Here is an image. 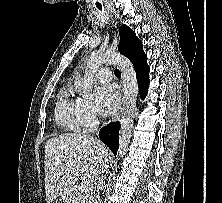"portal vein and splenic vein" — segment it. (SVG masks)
Listing matches in <instances>:
<instances>
[{
  "label": "portal vein and splenic vein",
  "instance_id": "portal-vein-and-splenic-vein-1",
  "mask_svg": "<svg viewBox=\"0 0 222 203\" xmlns=\"http://www.w3.org/2000/svg\"><path fill=\"white\" fill-rule=\"evenodd\" d=\"M82 188L86 191H92L94 189V186L91 182H85L84 184H82Z\"/></svg>",
  "mask_w": 222,
  "mask_h": 203
}]
</instances>
